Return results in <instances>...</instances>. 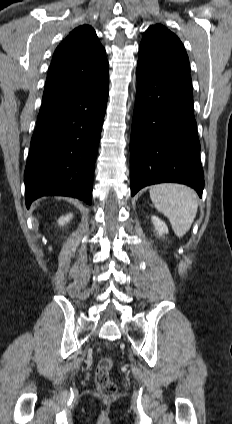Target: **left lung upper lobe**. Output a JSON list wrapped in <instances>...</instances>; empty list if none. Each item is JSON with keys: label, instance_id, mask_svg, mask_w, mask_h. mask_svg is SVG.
Masks as SVG:
<instances>
[{"label": "left lung upper lobe", "instance_id": "left-lung-upper-lobe-1", "mask_svg": "<svg viewBox=\"0 0 232 424\" xmlns=\"http://www.w3.org/2000/svg\"><path fill=\"white\" fill-rule=\"evenodd\" d=\"M137 71L153 76L190 74V64L179 38L163 25L156 24L144 33Z\"/></svg>", "mask_w": 232, "mask_h": 424}]
</instances>
